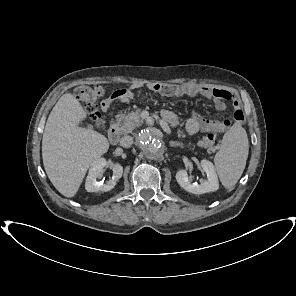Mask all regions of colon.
I'll list each match as a JSON object with an SVG mask.
<instances>
[{"mask_svg":"<svg viewBox=\"0 0 296 296\" xmlns=\"http://www.w3.org/2000/svg\"><path fill=\"white\" fill-rule=\"evenodd\" d=\"M103 94L104 89L101 86H81L76 90V97L80 101L84 111L98 125H101V118L97 101ZM216 140V134L207 133L201 138L200 145L210 148L215 145Z\"/></svg>","mask_w":296,"mask_h":296,"instance_id":"obj_1","label":"colon"}]
</instances>
